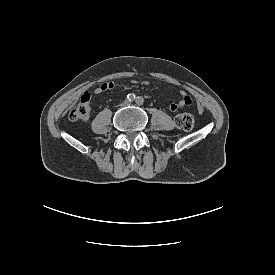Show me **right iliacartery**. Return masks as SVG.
Masks as SVG:
<instances>
[{
	"instance_id": "82829eb1",
	"label": "right iliac artery",
	"mask_w": 275,
	"mask_h": 275,
	"mask_svg": "<svg viewBox=\"0 0 275 275\" xmlns=\"http://www.w3.org/2000/svg\"><path fill=\"white\" fill-rule=\"evenodd\" d=\"M127 98L129 99V101H133L135 100L136 96L132 93V94H128Z\"/></svg>"
}]
</instances>
